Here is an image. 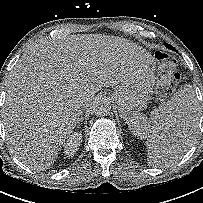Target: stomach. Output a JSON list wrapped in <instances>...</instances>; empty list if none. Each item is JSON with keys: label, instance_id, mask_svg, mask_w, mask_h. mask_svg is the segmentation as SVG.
<instances>
[{"label": "stomach", "instance_id": "1", "mask_svg": "<svg viewBox=\"0 0 203 203\" xmlns=\"http://www.w3.org/2000/svg\"><path fill=\"white\" fill-rule=\"evenodd\" d=\"M154 89V76L148 68L135 70L131 77L114 88L112 97L121 116L128 121L140 106L145 105Z\"/></svg>", "mask_w": 203, "mask_h": 203}]
</instances>
